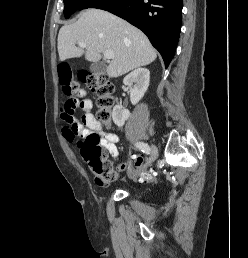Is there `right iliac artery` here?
I'll return each mask as SVG.
<instances>
[{
    "label": "right iliac artery",
    "mask_w": 248,
    "mask_h": 258,
    "mask_svg": "<svg viewBox=\"0 0 248 258\" xmlns=\"http://www.w3.org/2000/svg\"><path fill=\"white\" fill-rule=\"evenodd\" d=\"M135 146L140 149L143 153L150 154V147L148 144H145L143 142H137Z\"/></svg>",
    "instance_id": "right-iliac-artery-1"
}]
</instances>
